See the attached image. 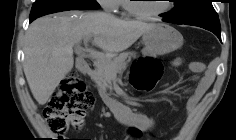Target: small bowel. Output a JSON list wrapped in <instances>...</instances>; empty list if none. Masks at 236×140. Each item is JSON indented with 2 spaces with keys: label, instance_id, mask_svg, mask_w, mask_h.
<instances>
[{
  "label": "small bowel",
  "instance_id": "obj_1",
  "mask_svg": "<svg viewBox=\"0 0 236 140\" xmlns=\"http://www.w3.org/2000/svg\"><path fill=\"white\" fill-rule=\"evenodd\" d=\"M173 66H180L183 63V59L177 57L172 60ZM189 69L194 73H202L201 76H194L193 80L195 81V86L187 89L189 97L186 103V113L188 116L193 115L195 109L202 99L203 95L209 89L210 85L214 80V72L211 69H205V65L202 62L192 61L189 63ZM128 122H133L138 128L142 130L153 129L155 122L152 118L136 115L132 116Z\"/></svg>",
  "mask_w": 236,
  "mask_h": 140
}]
</instances>
